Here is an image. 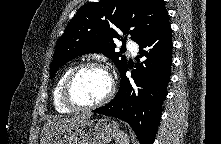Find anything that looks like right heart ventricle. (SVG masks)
I'll list each match as a JSON object with an SVG mask.
<instances>
[{"label":"right heart ventricle","mask_w":221,"mask_h":144,"mask_svg":"<svg viewBox=\"0 0 221 144\" xmlns=\"http://www.w3.org/2000/svg\"><path fill=\"white\" fill-rule=\"evenodd\" d=\"M73 68H74L73 66H70L62 72V74L59 76V78L55 84V87L53 89V96H52L53 97V105H54L56 111L59 113L66 114V113L72 112V110L67 108L61 100V88H62V84H63L65 78L67 77V75L70 73V71Z\"/></svg>","instance_id":"1"}]
</instances>
